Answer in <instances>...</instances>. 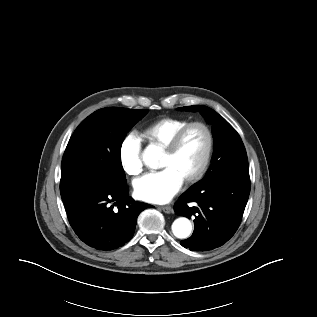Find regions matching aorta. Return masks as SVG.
I'll list each match as a JSON object with an SVG mask.
<instances>
[{"label":"aorta","mask_w":317,"mask_h":317,"mask_svg":"<svg viewBox=\"0 0 317 317\" xmlns=\"http://www.w3.org/2000/svg\"><path fill=\"white\" fill-rule=\"evenodd\" d=\"M161 150L155 145H149L145 148L142 154L143 163L152 169H157L159 166V159L161 157ZM192 231V224L186 217H179L172 223V232L175 237L179 239H186L190 236Z\"/></svg>","instance_id":"1"}]
</instances>
